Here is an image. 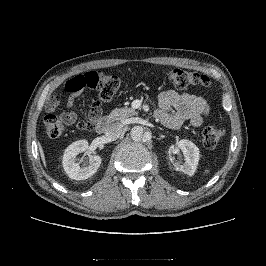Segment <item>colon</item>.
<instances>
[{
    "label": "colon",
    "mask_w": 266,
    "mask_h": 266,
    "mask_svg": "<svg viewBox=\"0 0 266 266\" xmlns=\"http://www.w3.org/2000/svg\"><path fill=\"white\" fill-rule=\"evenodd\" d=\"M168 80L173 88L179 90L187 88L208 89L211 87V79L207 75L182 68L172 69L168 74ZM120 87V78L110 72L89 71L71 78L65 85L66 92L82 91L87 88L98 91V96L93 98L90 103L89 119L78 121L77 127L81 130L89 129L101 114L102 102L113 100ZM57 101L58 97L48 102V113L44 118L47 134L52 138L61 136L65 129V121L54 113ZM224 134L223 127L209 124L201 132L203 144L207 148H214L220 143Z\"/></svg>",
    "instance_id": "5ec220e1"
}]
</instances>
